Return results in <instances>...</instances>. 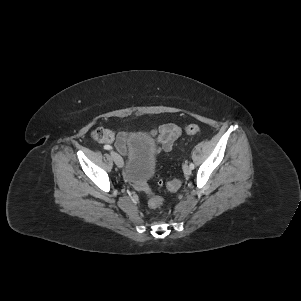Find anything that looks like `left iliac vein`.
Returning <instances> with one entry per match:
<instances>
[{"label":"left iliac vein","mask_w":301,"mask_h":301,"mask_svg":"<svg viewBox=\"0 0 301 301\" xmlns=\"http://www.w3.org/2000/svg\"><path fill=\"white\" fill-rule=\"evenodd\" d=\"M183 172L186 176H189L191 174V168L188 165L183 166Z\"/></svg>","instance_id":"1"}]
</instances>
